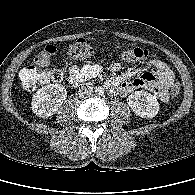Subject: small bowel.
<instances>
[{"instance_id":"c3829d8e","label":"small bowel","mask_w":195,"mask_h":195,"mask_svg":"<svg viewBox=\"0 0 195 195\" xmlns=\"http://www.w3.org/2000/svg\"><path fill=\"white\" fill-rule=\"evenodd\" d=\"M152 67L151 71L130 69L127 72L111 77L106 86L112 95L126 96L138 89H146L153 93L160 101L169 99L168 90L174 81V74L167 64L159 59H146ZM122 66L118 62L110 64L109 70L118 73ZM102 71L98 63L88 62L83 66L71 65L67 68L68 81L72 86H78L97 77Z\"/></svg>"}]
</instances>
